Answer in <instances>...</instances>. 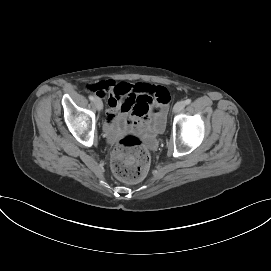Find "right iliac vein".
Masks as SVG:
<instances>
[{
    "mask_svg": "<svg viewBox=\"0 0 271 271\" xmlns=\"http://www.w3.org/2000/svg\"><path fill=\"white\" fill-rule=\"evenodd\" d=\"M94 105L98 111H101L103 109V103H102L101 99H99V98H96L94 100Z\"/></svg>",
    "mask_w": 271,
    "mask_h": 271,
    "instance_id": "right-iliac-vein-1",
    "label": "right iliac vein"
}]
</instances>
